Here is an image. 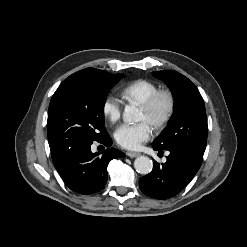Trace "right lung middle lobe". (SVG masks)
I'll list each match as a JSON object with an SVG mask.
<instances>
[{"instance_id":"obj_1","label":"right lung middle lobe","mask_w":247,"mask_h":247,"mask_svg":"<svg viewBox=\"0 0 247 247\" xmlns=\"http://www.w3.org/2000/svg\"><path fill=\"white\" fill-rule=\"evenodd\" d=\"M122 77L108 72L78 71L55 91L48 110V142L51 154L72 145L92 143L104 137V105L109 89Z\"/></svg>"}]
</instances>
